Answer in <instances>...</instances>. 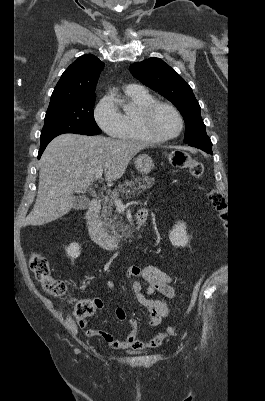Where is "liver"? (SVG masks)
Masks as SVG:
<instances>
[{
    "mask_svg": "<svg viewBox=\"0 0 265 401\" xmlns=\"http://www.w3.org/2000/svg\"><path fill=\"white\" fill-rule=\"evenodd\" d=\"M145 146L147 142L105 136H56L40 158L37 198L25 225H46L64 217L73 207V194L86 192L98 170L104 168L107 184H113Z\"/></svg>",
    "mask_w": 265,
    "mask_h": 401,
    "instance_id": "6515ba94",
    "label": "liver"
}]
</instances>
